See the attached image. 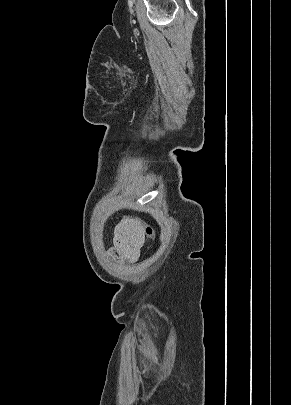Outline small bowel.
I'll return each mask as SVG.
<instances>
[{
    "mask_svg": "<svg viewBox=\"0 0 291 405\" xmlns=\"http://www.w3.org/2000/svg\"><path fill=\"white\" fill-rule=\"evenodd\" d=\"M143 242L142 225L134 221L123 222L116 228L111 254L135 261L139 258Z\"/></svg>",
    "mask_w": 291,
    "mask_h": 405,
    "instance_id": "1",
    "label": "small bowel"
}]
</instances>
